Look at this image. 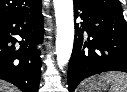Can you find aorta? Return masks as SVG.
I'll return each instance as SVG.
<instances>
[{
	"label": "aorta",
	"instance_id": "762f6f07",
	"mask_svg": "<svg viewBox=\"0 0 127 92\" xmlns=\"http://www.w3.org/2000/svg\"><path fill=\"white\" fill-rule=\"evenodd\" d=\"M56 17L57 65L62 68L69 62L74 42L73 0H53Z\"/></svg>",
	"mask_w": 127,
	"mask_h": 92
}]
</instances>
